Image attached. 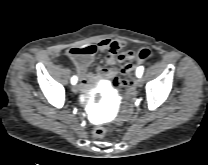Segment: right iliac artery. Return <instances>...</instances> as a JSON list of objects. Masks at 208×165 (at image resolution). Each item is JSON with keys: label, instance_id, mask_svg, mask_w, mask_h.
Returning <instances> with one entry per match:
<instances>
[{"label": "right iliac artery", "instance_id": "right-iliac-artery-1", "mask_svg": "<svg viewBox=\"0 0 208 165\" xmlns=\"http://www.w3.org/2000/svg\"><path fill=\"white\" fill-rule=\"evenodd\" d=\"M77 82V77L76 76H73L72 79H71V83L72 84H75Z\"/></svg>", "mask_w": 208, "mask_h": 165}]
</instances>
